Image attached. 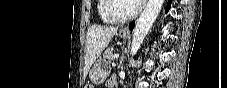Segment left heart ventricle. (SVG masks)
I'll use <instances>...</instances> for the list:
<instances>
[{
  "mask_svg": "<svg viewBox=\"0 0 227 88\" xmlns=\"http://www.w3.org/2000/svg\"><path fill=\"white\" fill-rule=\"evenodd\" d=\"M136 5L133 0H116L113 4V11L117 16H127L135 10Z\"/></svg>",
  "mask_w": 227,
  "mask_h": 88,
  "instance_id": "1",
  "label": "left heart ventricle"
}]
</instances>
